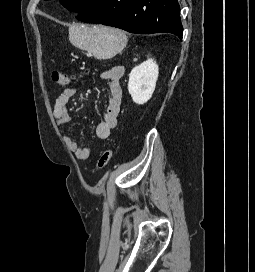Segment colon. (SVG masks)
I'll use <instances>...</instances> for the list:
<instances>
[{
  "label": "colon",
  "instance_id": "obj_1",
  "mask_svg": "<svg viewBox=\"0 0 255 272\" xmlns=\"http://www.w3.org/2000/svg\"><path fill=\"white\" fill-rule=\"evenodd\" d=\"M85 73H88V71H85ZM76 77L75 76H67L64 72L60 70H53L51 73V80L53 83L60 85V86H65L69 84L71 80H74ZM112 149L107 148L105 149L101 155L99 156L97 160V168L99 170H103L104 168L107 167V165L110 163L111 158H112Z\"/></svg>",
  "mask_w": 255,
  "mask_h": 272
}]
</instances>
